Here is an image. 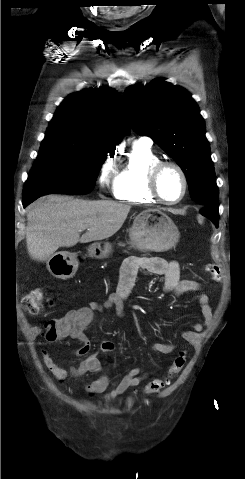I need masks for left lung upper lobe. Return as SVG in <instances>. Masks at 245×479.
Wrapping results in <instances>:
<instances>
[{
  "instance_id": "obj_1",
  "label": "left lung upper lobe",
  "mask_w": 245,
  "mask_h": 479,
  "mask_svg": "<svg viewBox=\"0 0 245 479\" xmlns=\"http://www.w3.org/2000/svg\"><path fill=\"white\" fill-rule=\"evenodd\" d=\"M124 102L133 129L150 136L182 168L192 200L203 207L217 203L205 123L190 93L155 79L146 86H130Z\"/></svg>"
}]
</instances>
